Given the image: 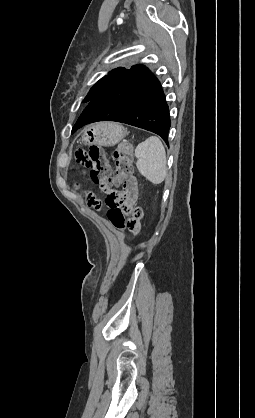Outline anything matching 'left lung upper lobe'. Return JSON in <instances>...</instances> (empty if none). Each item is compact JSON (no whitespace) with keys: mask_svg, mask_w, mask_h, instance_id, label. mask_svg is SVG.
Listing matches in <instances>:
<instances>
[{"mask_svg":"<svg viewBox=\"0 0 255 418\" xmlns=\"http://www.w3.org/2000/svg\"><path fill=\"white\" fill-rule=\"evenodd\" d=\"M127 69L124 67H118L108 73V75L101 78L89 91L83 102H90L97 95H99L111 82L121 76ZM77 129L73 127L72 133Z\"/></svg>","mask_w":255,"mask_h":418,"instance_id":"obj_1","label":"left lung upper lobe"}]
</instances>
